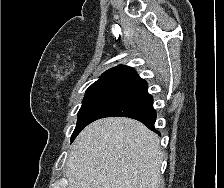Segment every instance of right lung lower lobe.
Returning <instances> with one entry per match:
<instances>
[{
    "label": "right lung lower lobe",
    "instance_id": "98d812e1",
    "mask_svg": "<svg viewBox=\"0 0 224 188\" xmlns=\"http://www.w3.org/2000/svg\"><path fill=\"white\" fill-rule=\"evenodd\" d=\"M147 89V82L137 77L98 109L89 123L104 117H129L157 132L153 125L156 120L153 97Z\"/></svg>",
    "mask_w": 224,
    "mask_h": 188
}]
</instances>
